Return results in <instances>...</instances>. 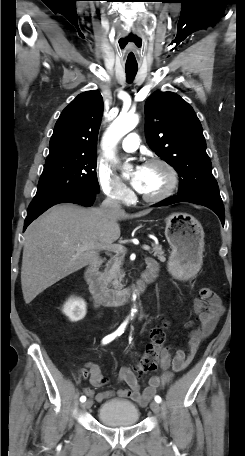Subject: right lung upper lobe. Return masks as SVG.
Segmentation results:
<instances>
[{"mask_svg":"<svg viewBox=\"0 0 245 456\" xmlns=\"http://www.w3.org/2000/svg\"><path fill=\"white\" fill-rule=\"evenodd\" d=\"M102 113L103 99L98 90L79 94L56 122L45 163L96 155Z\"/></svg>","mask_w":245,"mask_h":456,"instance_id":"cb5924a9","label":"right lung upper lobe"}]
</instances>
